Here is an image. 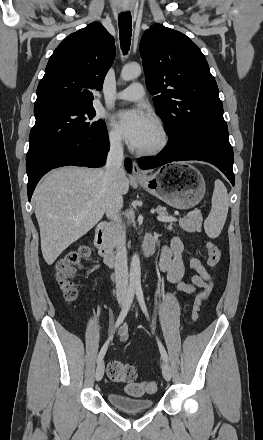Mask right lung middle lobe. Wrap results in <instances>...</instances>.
Wrapping results in <instances>:
<instances>
[{"mask_svg":"<svg viewBox=\"0 0 263 440\" xmlns=\"http://www.w3.org/2000/svg\"><path fill=\"white\" fill-rule=\"evenodd\" d=\"M36 122L29 136L26 160L65 140H79L105 132L104 121H94L92 104H56L34 108Z\"/></svg>","mask_w":263,"mask_h":440,"instance_id":"1","label":"right lung middle lobe"}]
</instances>
